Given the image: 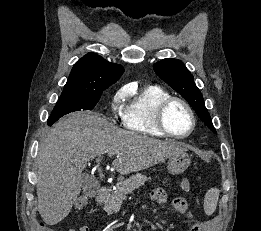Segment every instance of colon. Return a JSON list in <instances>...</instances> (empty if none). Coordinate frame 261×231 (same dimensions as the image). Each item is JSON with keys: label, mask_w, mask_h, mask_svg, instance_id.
<instances>
[{"label": "colon", "mask_w": 261, "mask_h": 231, "mask_svg": "<svg viewBox=\"0 0 261 231\" xmlns=\"http://www.w3.org/2000/svg\"><path fill=\"white\" fill-rule=\"evenodd\" d=\"M189 188H190V182L189 181L182 185V189L184 191L189 190ZM87 202H88V200L85 197L77 199L75 201V203H74V208L75 209H82V208H84L87 205ZM198 229H199V225L196 224V225H193L191 227L190 231H197ZM41 231H55V230L52 227H49V226H46V225H42L41 226Z\"/></svg>", "instance_id": "5ec220e1"}]
</instances>
